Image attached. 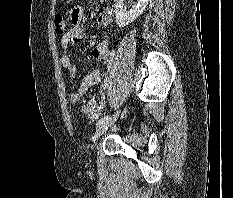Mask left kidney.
I'll list each match as a JSON object with an SVG mask.
<instances>
[{
	"label": "left kidney",
	"mask_w": 233,
	"mask_h": 198,
	"mask_svg": "<svg viewBox=\"0 0 233 198\" xmlns=\"http://www.w3.org/2000/svg\"><path fill=\"white\" fill-rule=\"evenodd\" d=\"M149 1L137 0L132 9L127 10L123 5L124 0H114L116 24L119 27H125L136 20L143 13Z\"/></svg>",
	"instance_id": "left-kidney-1"
}]
</instances>
